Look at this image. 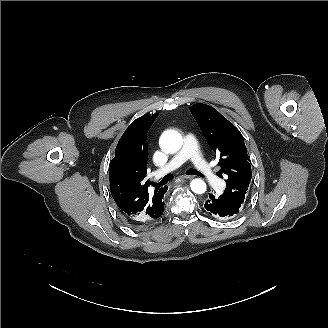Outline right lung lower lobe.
<instances>
[{
    "instance_id": "obj_1",
    "label": "right lung lower lobe",
    "mask_w": 328,
    "mask_h": 328,
    "mask_svg": "<svg viewBox=\"0 0 328 328\" xmlns=\"http://www.w3.org/2000/svg\"><path fill=\"white\" fill-rule=\"evenodd\" d=\"M123 217H124V216H123ZM124 218H125V220L128 222V224L134 226V222H133L132 220L127 219L126 217H124Z\"/></svg>"
}]
</instances>
